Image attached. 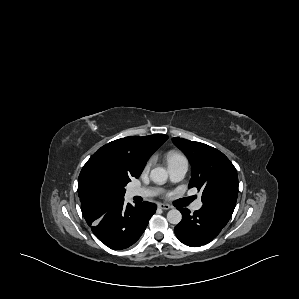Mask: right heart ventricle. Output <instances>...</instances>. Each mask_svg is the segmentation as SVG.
<instances>
[{"instance_id":"e07e8e85","label":"right heart ventricle","mask_w":299,"mask_h":299,"mask_svg":"<svg viewBox=\"0 0 299 299\" xmlns=\"http://www.w3.org/2000/svg\"><path fill=\"white\" fill-rule=\"evenodd\" d=\"M166 160H167L168 165H170L172 163L186 161V158L184 157V155L182 153L175 151V150H171L167 153Z\"/></svg>"}]
</instances>
